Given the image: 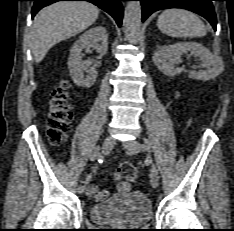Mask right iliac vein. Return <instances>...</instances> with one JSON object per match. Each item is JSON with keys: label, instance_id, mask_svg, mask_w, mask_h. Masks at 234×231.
Returning a JSON list of instances; mask_svg holds the SVG:
<instances>
[{"label": "right iliac vein", "instance_id": "obj_1", "mask_svg": "<svg viewBox=\"0 0 234 231\" xmlns=\"http://www.w3.org/2000/svg\"><path fill=\"white\" fill-rule=\"evenodd\" d=\"M114 144H115L114 138L112 136H107L104 139L103 144H102V148H101L102 153L104 155L108 154L112 150ZM77 192L79 194H82L84 192V187L82 185H79L77 188Z\"/></svg>", "mask_w": 234, "mask_h": 231}]
</instances>
